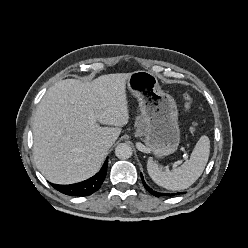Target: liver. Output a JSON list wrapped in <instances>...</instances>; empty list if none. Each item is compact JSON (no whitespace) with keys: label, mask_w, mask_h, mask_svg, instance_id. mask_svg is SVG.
<instances>
[{"label":"liver","mask_w":248,"mask_h":248,"mask_svg":"<svg viewBox=\"0 0 248 248\" xmlns=\"http://www.w3.org/2000/svg\"><path fill=\"white\" fill-rule=\"evenodd\" d=\"M130 75L107 74L91 82L65 79L47 90L32 130L35 164L48 181L77 183L99 170L108 152L101 142L114 143L129 120L126 83Z\"/></svg>","instance_id":"liver-1"}]
</instances>
